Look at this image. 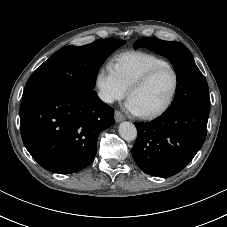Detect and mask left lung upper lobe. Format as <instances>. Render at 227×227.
Here are the masks:
<instances>
[{
  "label": "left lung upper lobe",
  "instance_id": "1",
  "mask_svg": "<svg viewBox=\"0 0 227 227\" xmlns=\"http://www.w3.org/2000/svg\"><path fill=\"white\" fill-rule=\"evenodd\" d=\"M146 47L170 60L177 74L176 97L165 112L192 108L209 112L207 82L195 64L190 51L181 43L145 37L137 40L134 48Z\"/></svg>",
  "mask_w": 227,
  "mask_h": 227
}]
</instances>
